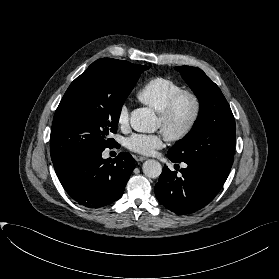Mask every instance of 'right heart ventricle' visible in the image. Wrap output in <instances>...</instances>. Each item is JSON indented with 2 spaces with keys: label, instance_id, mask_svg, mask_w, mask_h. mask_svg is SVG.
I'll return each instance as SVG.
<instances>
[{
  "label": "right heart ventricle",
  "instance_id": "1",
  "mask_svg": "<svg viewBox=\"0 0 279 279\" xmlns=\"http://www.w3.org/2000/svg\"><path fill=\"white\" fill-rule=\"evenodd\" d=\"M181 90L179 84L166 77H154L147 81L138 92L139 100L160 113L169 98Z\"/></svg>",
  "mask_w": 279,
  "mask_h": 279
}]
</instances>
